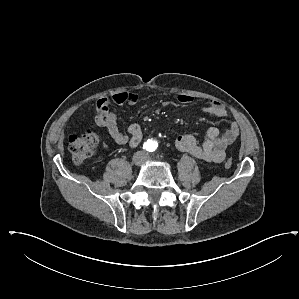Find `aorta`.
<instances>
[{"mask_svg":"<svg viewBox=\"0 0 299 299\" xmlns=\"http://www.w3.org/2000/svg\"><path fill=\"white\" fill-rule=\"evenodd\" d=\"M154 143H155V142L151 141V142H150V146L153 147Z\"/></svg>","mask_w":299,"mask_h":299,"instance_id":"1","label":"aorta"}]
</instances>
